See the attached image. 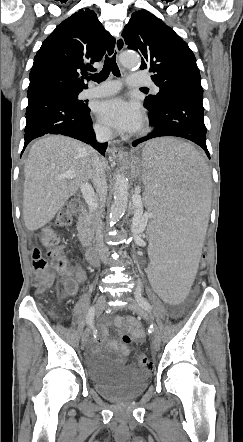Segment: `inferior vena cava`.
I'll return each instance as SVG.
<instances>
[{
  "instance_id": "inferior-vena-cava-1",
  "label": "inferior vena cava",
  "mask_w": 243,
  "mask_h": 442,
  "mask_svg": "<svg viewBox=\"0 0 243 442\" xmlns=\"http://www.w3.org/2000/svg\"><path fill=\"white\" fill-rule=\"evenodd\" d=\"M94 130L96 134V139L99 142H106L112 138V131L106 127L95 126ZM92 183L101 200L107 194V181L102 161L98 157V155L94 156L93 158ZM93 205L94 208L98 207L97 200L94 197H93ZM93 216H94L96 249L99 252V255L101 256L104 263H107V261L109 260V250L104 243L103 223L101 220V216L98 211H96L93 214Z\"/></svg>"
}]
</instances>
